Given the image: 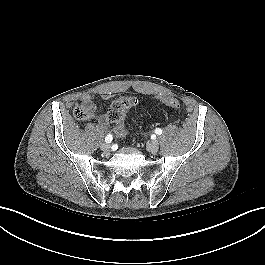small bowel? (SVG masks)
Wrapping results in <instances>:
<instances>
[{"mask_svg":"<svg viewBox=\"0 0 265 265\" xmlns=\"http://www.w3.org/2000/svg\"><path fill=\"white\" fill-rule=\"evenodd\" d=\"M162 96L160 100L162 101ZM95 96L92 94H85L81 97L82 105L89 107L92 111L95 109ZM163 102V101H162ZM97 124L101 128H106L108 126V119L105 115L98 117Z\"/></svg>","mask_w":265,"mask_h":265,"instance_id":"1","label":"small bowel"}]
</instances>
